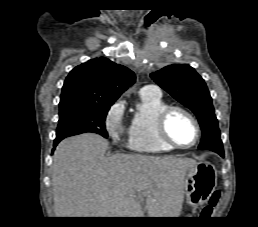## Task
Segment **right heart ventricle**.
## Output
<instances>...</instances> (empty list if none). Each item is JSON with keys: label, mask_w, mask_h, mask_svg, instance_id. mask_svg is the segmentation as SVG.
Listing matches in <instances>:
<instances>
[{"label": "right heart ventricle", "mask_w": 258, "mask_h": 227, "mask_svg": "<svg viewBox=\"0 0 258 227\" xmlns=\"http://www.w3.org/2000/svg\"><path fill=\"white\" fill-rule=\"evenodd\" d=\"M166 107L167 104L161 95L140 92L128 129L130 150L139 153L162 154L173 149L161 141L157 133V117Z\"/></svg>", "instance_id": "right-heart-ventricle-1"}]
</instances>
